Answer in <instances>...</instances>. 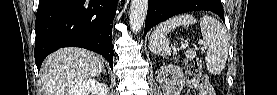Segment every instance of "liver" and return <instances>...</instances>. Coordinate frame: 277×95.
Instances as JSON below:
<instances>
[{"label": "liver", "mask_w": 277, "mask_h": 95, "mask_svg": "<svg viewBox=\"0 0 277 95\" xmlns=\"http://www.w3.org/2000/svg\"><path fill=\"white\" fill-rule=\"evenodd\" d=\"M103 61L93 52L81 48H63L44 61L42 82L46 95H68L79 82L101 74Z\"/></svg>", "instance_id": "1"}]
</instances>
